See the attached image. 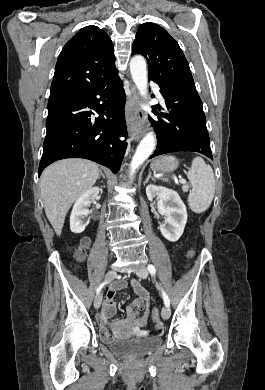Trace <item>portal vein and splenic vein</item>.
<instances>
[{
  "label": "portal vein and splenic vein",
  "mask_w": 265,
  "mask_h": 390,
  "mask_svg": "<svg viewBox=\"0 0 265 390\" xmlns=\"http://www.w3.org/2000/svg\"><path fill=\"white\" fill-rule=\"evenodd\" d=\"M179 182L182 183V184L186 183V181L184 179H182V178L179 180ZM185 190H187V188H185Z\"/></svg>",
  "instance_id": "portal-vein-and-splenic-vein-1"
}]
</instances>
